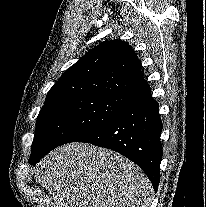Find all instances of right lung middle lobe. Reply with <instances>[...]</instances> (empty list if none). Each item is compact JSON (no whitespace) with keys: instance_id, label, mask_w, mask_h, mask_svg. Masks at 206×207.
<instances>
[{"instance_id":"obj_1","label":"right lung middle lobe","mask_w":206,"mask_h":207,"mask_svg":"<svg viewBox=\"0 0 206 207\" xmlns=\"http://www.w3.org/2000/svg\"><path fill=\"white\" fill-rule=\"evenodd\" d=\"M127 102L126 95L81 96L45 102L36 121L31 157L77 141L115 117Z\"/></svg>"}]
</instances>
